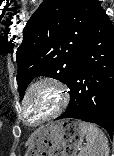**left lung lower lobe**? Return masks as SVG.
Listing matches in <instances>:
<instances>
[{
	"instance_id": "left-lung-lower-lobe-1",
	"label": "left lung lower lobe",
	"mask_w": 114,
	"mask_h": 156,
	"mask_svg": "<svg viewBox=\"0 0 114 156\" xmlns=\"http://www.w3.org/2000/svg\"><path fill=\"white\" fill-rule=\"evenodd\" d=\"M70 103L57 119L75 118L114 130V26L100 6L79 51Z\"/></svg>"
}]
</instances>
